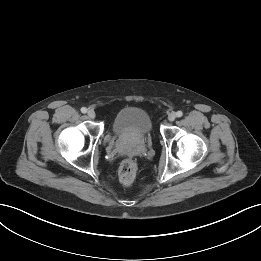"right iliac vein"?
Here are the masks:
<instances>
[{
	"mask_svg": "<svg viewBox=\"0 0 261 261\" xmlns=\"http://www.w3.org/2000/svg\"><path fill=\"white\" fill-rule=\"evenodd\" d=\"M87 115L90 119H94L96 114L93 110H88Z\"/></svg>",
	"mask_w": 261,
	"mask_h": 261,
	"instance_id": "63e3f726",
	"label": "right iliac vein"
}]
</instances>
